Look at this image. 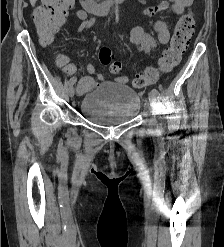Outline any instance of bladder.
I'll use <instances>...</instances> for the list:
<instances>
[{
    "mask_svg": "<svg viewBox=\"0 0 224 247\" xmlns=\"http://www.w3.org/2000/svg\"><path fill=\"white\" fill-rule=\"evenodd\" d=\"M139 110V96L129 86L103 82L83 96L79 111L92 124L110 127L133 119Z\"/></svg>",
    "mask_w": 224,
    "mask_h": 247,
    "instance_id": "1",
    "label": "bladder"
}]
</instances>
